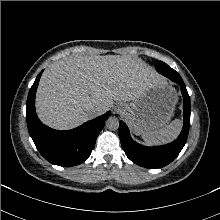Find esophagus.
<instances>
[{
  "label": "esophagus",
  "mask_w": 220,
  "mask_h": 220,
  "mask_svg": "<svg viewBox=\"0 0 220 220\" xmlns=\"http://www.w3.org/2000/svg\"><path fill=\"white\" fill-rule=\"evenodd\" d=\"M121 112V106L120 105H115L112 108V113L113 114H119Z\"/></svg>",
  "instance_id": "34e87169"
}]
</instances>
